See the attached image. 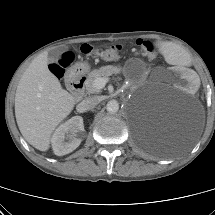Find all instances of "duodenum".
<instances>
[{"mask_svg":"<svg viewBox=\"0 0 215 215\" xmlns=\"http://www.w3.org/2000/svg\"><path fill=\"white\" fill-rule=\"evenodd\" d=\"M84 81L83 72L77 68L71 69L66 76L67 85L76 100L80 99L83 95Z\"/></svg>","mask_w":215,"mask_h":215,"instance_id":"1","label":"duodenum"}]
</instances>
